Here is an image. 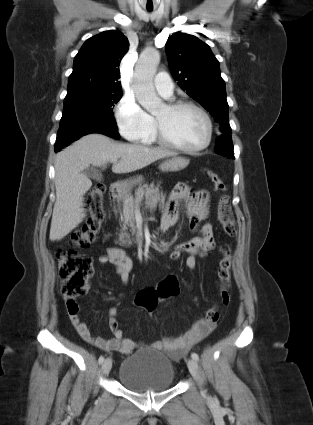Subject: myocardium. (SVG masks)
<instances>
[{"label":"myocardium","instance_id":"f54148a6","mask_svg":"<svg viewBox=\"0 0 313 425\" xmlns=\"http://www.w3.org/2000/svg\"><path fill=\"white\" fill-rule=\"evenodd\" d=\"M166 107L169 111L171 112H176L182 109H193L195 111H197L198 113H200L202 115V117L204 118L206 125H207V134H206V139L205 141L195 147V148H187L184 147L178 143H176L175 141H173L164 131L161 123L159 122V120L157 118H155V137L158 140V142L160 144H162L163 146H166L170 149H174L186 154H196L199 153L203 150H205L211 143L212 141V137H213V121L210 117V115L207 113V111L202 108L201 106L190 102V101H176V102H170L168 104H166Z\"/></svg>","mask_w":313,"mask_h":425}]
</instances>
